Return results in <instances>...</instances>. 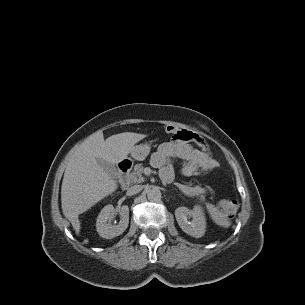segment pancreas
I'll list each match as a JSON object with an SVG mask.
<instances>
[{
	"instance_id": "cf45deb5",
	"label": "pancreas",
	"mask_w": 305,
	"mask_h": 305,
	"mask_svg": "<svg viewBox=\"0 0 305 305\" xmlns=\"http://www.w3.org/2000/svg\"><path fill=\"white\" fill-rule=\"evenodd\" d=\"M144 171V167L142 164H136L134 166V170L128 175V178L131 183H142L144 182V177L142 176V173ZM178 188L183 192L184 195L188 197H199L201 201H204V194L206 192V189L200 187V186H194L190 187L183 184H178Z\"/></svg>"
}]
</instances>
